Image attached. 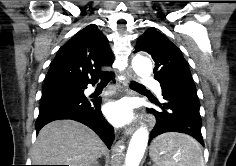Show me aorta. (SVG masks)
Wrapping results in <instances>:
<instances>
[{"instance_id": "1", "label": "aorta", "mask_w": 236, "mask_h": 166, "mask_svg": "<svg viewBox=\"0 0 236 166\" xmlns=\"http://www.w3.org/2000/svg\"><path fill=\"white\" fill-rule=\"evenodd\" d=\"M132 68L140 77H147L152 73V62L140 55L132 60ZM148 143V130L141 127L133 134L125 158V166H138L141 162Z\"/></svg>"}]
</instances>
